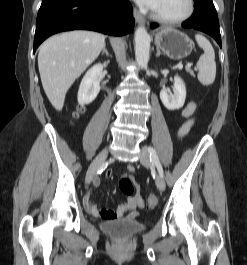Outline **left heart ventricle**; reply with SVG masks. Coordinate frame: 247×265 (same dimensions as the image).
Wrapping results in <instances>:
<instances>
[{"label":"left heart ventricle","mask_w":247,"mask_h":265,"mask_svg":"<svg viewBox=\"0 0 247 265\" xmlns=\"http://www.w3.org/2000/svg\"><path fill=\"white\" fill-rule=\"evenodd\" d=\"M187 0H158L153 10L163 16L174 17L183 13Z\"/></svg>","instance_id":"obj_1"}]
</instances>
